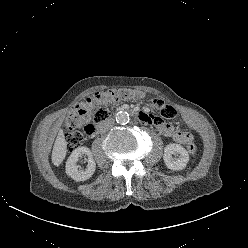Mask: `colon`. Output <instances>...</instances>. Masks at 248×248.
Segmentation results:
<instances>
[{
	"label": "colon",
	"mask_w": 248,
	"mask_h": 248,
	"mask_svg": "<svg viewBox=\"0 0 248 248\" xmlns=\"http://www.w3.org/2000/svg\"><path fill=\"white\" fill-rule=\"evenodd\" d=\"M142 96L141 92L113 89L104 93H98L86 101L75 105L65 117V126L68 130L65 139L68 151L73 152L76 150L81 145L84 136L91 135L94 132L95 124L109 116L110 103ZM187 150L194 155L197 153L198 148L193 142H190L187 145Z\"/></svg>",
	"instance_id": "5ec220e1"
}]
</instances>
